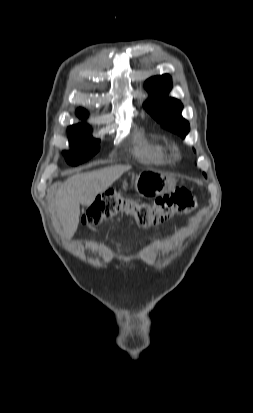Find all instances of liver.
<instances>
[{
    "mask_svg": "<svg viewBox=\"0 0 253 413\" xmlns=\"http://www.w3.org/2000/svg\"><path fill=\"white\" fill-rule=\"evenodd\" d=\"M130 168L110 166L92 172H80L69 178L56 192L57 216L67 238H71L78 228L80 204L90 206L98 194L104 192Z\"/></svg>",
    "mask_w": 253,
    "mask_h": 413,
    "instance_id": "liver-1",
    "label": "liver"
}]
</instances>
